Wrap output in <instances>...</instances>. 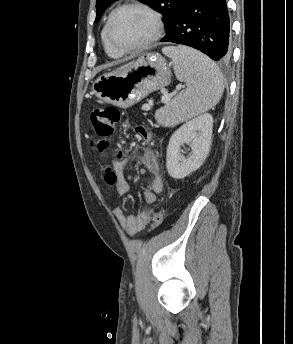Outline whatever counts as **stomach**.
<instances>
[{"label":"stomach","mask_w":293,"mask_h":344,"mask_svg":"<svg viewBox=\"0 0 293 344\" xmlns=\"http://www.w3.org/2000/svg\"><path fill=\"white\" fill-rule=\"evenodd\" d=\"M172 73L166 60L157 53H146L125 68L100 76L93 93L104 102L129 108L151 92L166 87Z\"/></svg>","instance_id":"stomach-1"}]
</instances>
